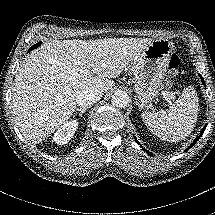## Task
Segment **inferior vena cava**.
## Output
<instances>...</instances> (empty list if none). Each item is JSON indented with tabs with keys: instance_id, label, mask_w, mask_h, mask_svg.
<instances>
[{
	"instance_id": "602c4592",
	"label": "inferior vena cava",
	"mask_w": 215,
	"mask_h": 215,
	"mask_svg": "<svg viewBox=\"0 0 215 215\" xmlns=\"http://www.w3.org/2000/svg\"><path fill=\"white\" fill-rule=\"evenodd\" d=\"M103 95L102 91L98 92H81L77 97H76V103L82 108H88L92 104L96 103L101 99Z\"/></svg>"
}]
</instances>
